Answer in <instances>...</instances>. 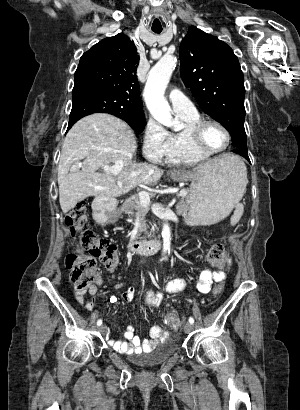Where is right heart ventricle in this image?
<instances>
[{
  "label": "right heart ventricle",
  "instance_id": "e07e8e85",
  "mask_svg": "<svg viewBox=\"0 0 300 410\" xmlns=\"http://www.w3.org/2000/svg\"><path fill=\"white\" fill-rule=\"evenodd\" d=\"M176 114L183 121L184 127L168 133L167 147L162 159L166 163L181 165H195L207 160L210 156L196 150L190 139V128L200 120L198 112Z\"/></svg>",
  "mask_w": 300,
  "mask_h": 410
}]
</instances>
